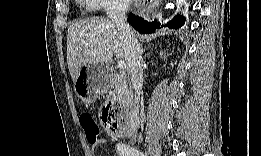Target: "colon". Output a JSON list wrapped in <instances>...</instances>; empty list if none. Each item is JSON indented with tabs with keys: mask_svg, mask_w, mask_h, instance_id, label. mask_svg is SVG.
Instances as JSON below:
<instances>
[{
	"mask_svg": "<svg viewBox=\"0 0 261 156\" xmlns=\"http://www.w3.org/2000/svg\"><path fill=\"white\" fill-rule=\"evenodd\" d=\"M80 124L83 128L86 139L90 144H96L101 135V127L88 113L80 116ZM102 127L110 134L122 136L126 134L123 125L121 112L118 106L105 104L101 110Z\"/></svg>",
	"mask_w": 261,
	"mask_h": 156,
	"instance_id": "5ec220e1",
	"label": "colon"
}]
</instances>
